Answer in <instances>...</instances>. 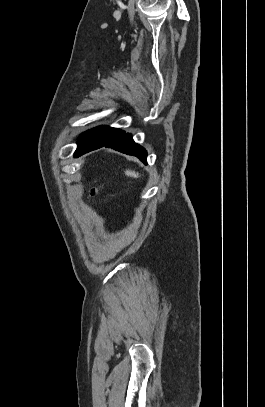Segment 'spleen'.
I'll list each match as a JSON object with an SVG mask.
<instances>
[{
	"instance_id": "1",
	"label": "spleen",
	"mask_w": 265,
	"mask_h": 407,
	"mask_svg": "<svg viewBox=\"0 0 265 407\" xmlns=\"http://www.w3.org/2000/svg\"><path fill=\"white\" fill-rule=\"evenodd\" d=\"M125 174L127 176L133 177V178H138L139 177V173L135 172V171H131V170H126Z\"/></svg>"
}]
</instances>
